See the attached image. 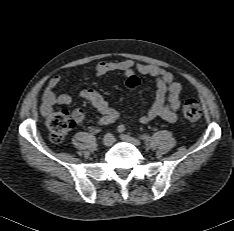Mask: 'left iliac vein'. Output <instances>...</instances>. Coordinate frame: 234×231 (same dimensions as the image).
Returning <instances> with one entry per match:
<instances>
[{
	"instance_id": "left-iliac-vein-1",
	"label": "left iliac vein",
	"mask_w": 234,
	"mask_h": 231,
	"mask_svg": "<svg viewBox=\"0 0 234 231\" xmlns=\"http://www.w3.org/2000/svg\"><path fill=\"white\" fill-rule=\"evenodd\" d=\"M120 138H121L123 141L129 142V143H131V144H133V145H135V146H140V145H141V142H140L138 139L133 138V137L127 135V134H121V135H120Z\"/></svg>"
}]
</instances>
